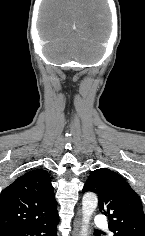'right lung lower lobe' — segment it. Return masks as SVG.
Returning a JSON list of instances; mask_svg holds the SVG:
<instances>
[{
	"mask_svg": "<svg viewBox=\"0 0 145 236\" xmlns=\"http://www.w3.org/2000/svg\"><path fill=\"white\" fill-rule=\"evenodd\" d=\"M58 222L59 217L56 216L33 227L1 232L0 236H57L56 226Z\"/></svg>",
	"mask_w": 145,
	"mask_h": 236,
	"instance_id": "obj_1",
	"label": "right lung lower lobe"
}]
</instances>
